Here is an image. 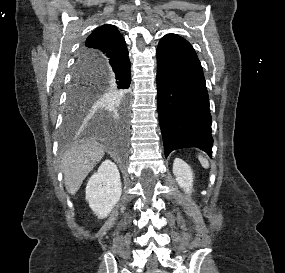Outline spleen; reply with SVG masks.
Here are the masks:
<instances>
[{
	"instance_id": "3e777b00",
	"label": "spleen",
	"mask_w": 285,
	"mask_h": 273,
	"mask_svg": "<svg viewBox=\"0 0 285 273\" xmlns=\"http://www.w3.org/2000/svg\"><path fill=\"white\" fill-rule=\"evenodd\" d=\"M198 159H199L201 165L203 166V168H209V162L205 157H203L202 155H199Z\"/></svg>"
}]
</instances>
